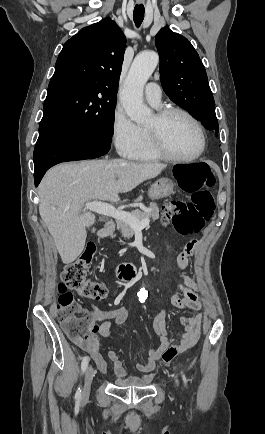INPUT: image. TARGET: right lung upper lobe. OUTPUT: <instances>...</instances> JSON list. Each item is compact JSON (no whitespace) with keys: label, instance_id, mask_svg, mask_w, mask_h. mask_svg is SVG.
I'll return each mask as SVG.
<instances>
[{"label":"right lung upper lobe","instance_id":"right-lung-upper-lobe-1","mask_svg":"<svg viewBox=\"0 0 265 434\" xmlns=\"http://www.w3.org/2000/svg\"><path fill=\"white\" fill-rule=\"evenodd\" d=\"M126 38L110 18L81 29L66 41L52 79L86 77L118 89Z\"/></svg>","mask_w":265,"mask_h":434}]
</instances>
